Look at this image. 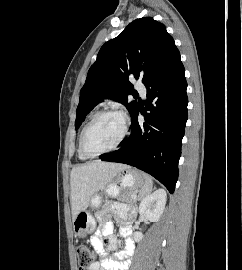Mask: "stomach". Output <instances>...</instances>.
Masks as SVG:
<instances>
[{
	"instance_id": "obj_1",
	"label": "stomach",
	"mask_w": 242,
	"mask_h": 270,
	"mask_svg": "<svg viewBox=\"0 0 242 270\" xmlns=\"http://www.w3.org/2000/svg\"><path fill=\"white\" fill-rule=\"evenodd\" d=\"M145 179L143 174L131 168H126L117 174L114 182L105 188V192L110 197H118L121 191L137 193L144 186ZM102 203L100 195H94L90 204L92 207H99ZM96 221L87 210L81 211L73 221V229L77 237H86L95 229Z\"/></svg>"
}]
</instances>
